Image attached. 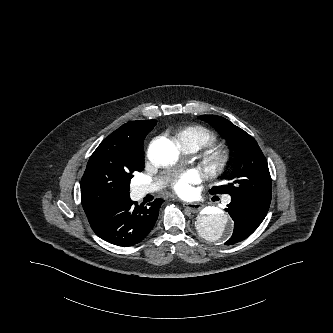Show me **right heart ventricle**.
Masks as SVG:
<instances>
[{"label":"right heart ventricle","mask_w":333,"mask_h":333,"mask_svg":"<svg viewBox=\"0 0 333 333\" xmlns=\"http://www.w3.org/2000/svg\"><path fill=\"white\" fill-rule=\"evenodd\" d=\"M177 140L189 141L198 147H207L215 144L217 137L212 131L206 128L189 126L182 128L177 132Z\"/></svg>","instance_id":"e07e8e85"}]
</instances>
